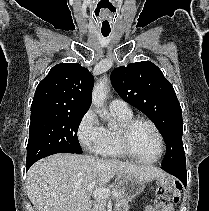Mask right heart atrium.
I'll return each mask as SVG.
<instances>
[{
	"label": "right heart atrium",
	"mask_w": 209,
	"mask_h": 211,
	"mask_svg": "<svg viewBox=\"0 0 209 211\" xmlns=\"http://www.w3.org/2000/svg\"><path fill=\"white\" fill-rule=\"evenodd\" d=\"M77 137L81 146L95 152L103 138V127L93 110L84 113L77 127Z\"/></svg>",
	"instance_id": "right-heart-atrium-1"
}]
</instances>
